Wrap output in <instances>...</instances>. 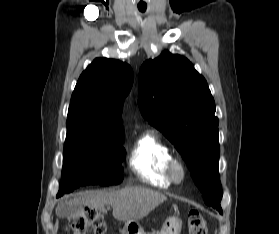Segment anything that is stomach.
Returning a JSON list of instances; mask_svg holds the SVG:
<instances>
[{
	"label": "stomach",
	"mask_w": 279,
	"mask_h": 234,
	"mask_svg": "<svg viewBox=\"0 0 279 234\" xmlns=\"http://www.w3.org/2000/svg\"><path fill=\"white\" fill-rule=\"evenodd\" d=\"M182 222L175 216L168 217L158 234H180ZM122 234H146L137 221L126 222Z\"/></svg>",
	"instance_id": "1"
}]
</instances>
